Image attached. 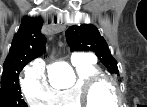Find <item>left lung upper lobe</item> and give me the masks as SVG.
<instances>
[{
    "mask_svg": "<svg viewBox=\"0 0 147 107\" xmlns=\"http://www.w3.org/2000/svg\"><path fill=\"white\" fill-rule=\"evenodd\" d=\"M66 37L71 50L93 51L112 74L119 73L117 62L96 26L92 24L70 26L66 30Z\"/></svg>",
    "mask_w": 147,
    "mask_h": 107,
    "instance_id": "left-lung-upper-lobe-1",
    "label": "left lung upper lobe"
}]
</instances>
